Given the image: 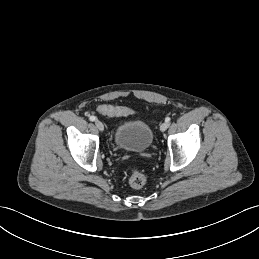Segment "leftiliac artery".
Returning a JSON list of instances; mask_svg holds the SVG:
<instances>
[{
	"instance_id": "obj_1",
	"label": "left iliac artery",
	"mask_w": 259,
	"mask_h": 259,
	"mask_svg": "<svg viewBox=\"0 0 259 259\" xmlns=\"http://www.w3.org/2000/svg\"><path fill=\"white\" fill-rule=\"evenodd\" d=\"M170 120H171L170 117L165 118V122H167V123L170 122Z\"/></svg>"
}]
</instances>
